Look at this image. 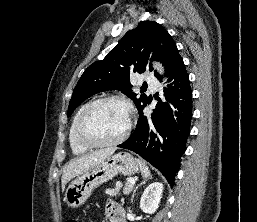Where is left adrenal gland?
I'll use <instances>...</instances> for the list:
<instances>
[{
	"label": "left adrenal gland",
	"mask_w": 257,
	"mask_h": 222,
	"mask_svg": "<svg viewBox=\"0 0 257 222\" xmlns=\"http://www.w3.org/2000/svg\"><path fill=\"white\" fill-rule=\"evenodd\" d=\"M145 182H142L140 183L139 185H137L133 191V194H132V198H131V202H133V199H134V196H135V193H136V190L138 189V187H140L142 184H144Z\"/></svg>",
	"instance_id": "1"
}]
</instances>
